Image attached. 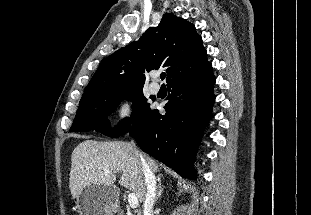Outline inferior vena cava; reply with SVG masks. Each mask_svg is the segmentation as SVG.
I'll return each mask as SVG.
<instances>
[{"instance_id":"602c4592","label":"inferior vena cava","mask_w":311,"mask_h":215,"mask_svg":"<svg viewBox=\"0 0 311 215\" xmlns=\"http://www.w3.org/2000/svg\"><path fill=\"white\" fill-rule=\"evenodd\" d=\"M132 147L134 154L140 160V164L145 177L146 193L143 204L144 215H153V205L156 195V178L144 156L136 149L134 142H132Z\"/></svg>"}]
</instances>
